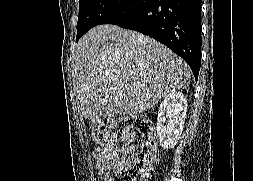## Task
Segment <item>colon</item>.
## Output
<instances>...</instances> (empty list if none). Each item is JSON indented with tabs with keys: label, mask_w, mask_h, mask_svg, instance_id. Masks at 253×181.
Masks as SVG:
<instances>
[{
	"label": "colon",
	"mask_w": 253,
	"mask_h": 181,
	"mask_svg": "<svg viewBox=\"0 0 253 181\" xmlns=\"http://www.w3.org/2000/svg\"><path fill=\"white\" fill-rule=\"evenodd\" d=\"M96 141L105 148H114L125 141L124 156L106 181H147L156 157L153 122L143 116H108L93 125Z\"/></svg>",
	"instance_id": "obj_1"
}]
</instances>
